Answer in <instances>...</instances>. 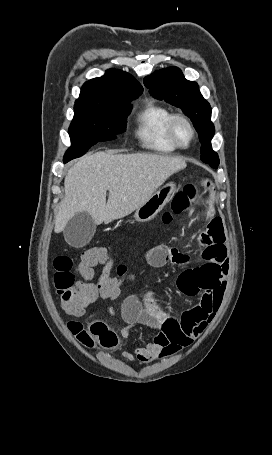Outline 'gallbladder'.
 Segmentation results:
<instances>
[{
  "label": "gallbladder",
  "mask_w": 272,
  "mask_h": 455,
  "mask_svg": "<svg viewBox=\"0 0 272 455\" xmlns=\"http://www.w3.org/2000/svg\"><path fill=\"white\" fill-rule=\"evenodd\" d=\"M95 231L93 218L87 212H79L67 222L63 235L69 245L82 247L91 240Z\"/></svg>",
  "instance_id": "gallbladder-1"
}]
</instances>
